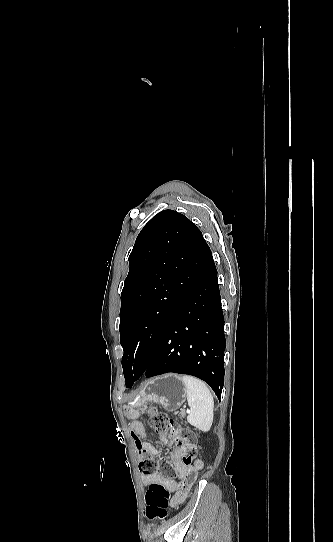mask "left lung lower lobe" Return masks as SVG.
Returning <instances> with one entry per match:
<instances>
[{
	"label": "left lung lower lobe",
	"mask_w": 333,
	"mask_h": 542,
	"mask_svg": "<svg viewBox=\"0 0 333 542\" xmlns=\"http://www.w3.org/2000/svg\"><path fill=\"white\" fill-rule=\"evenodd\" d=\"M224 317L212 254L168 322L147 368L146 377L174 372L204 380L221 398L224 384ZM139 378V377H138ZM126 382L132 387L138 379Z\"/></svg>",
	"instance_id": "1"
}]
</instances>
